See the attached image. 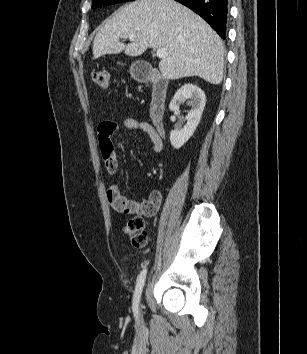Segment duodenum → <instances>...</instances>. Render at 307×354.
I'll list each match as a JSON object with an SVG mask.
<instances>
[{
  "label": "duodenum",
  "instance_id": "obj_1",
  "mask_svg": "<svg viewBox=\"0 0 307 354\" xmlns=\"http://www.w3.org/2000/svg\"><path fill=\"white\" fill-rule=\"evenodd\" d=\"M135 76L137 81L150 83L152 86L149 115L157 131L163 135L168 80L155 69L144 66L137 69Z\"/></svg>",
  "mask_w": 307,
  "mask_h": 354
}]
</instances>
